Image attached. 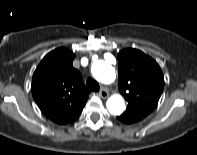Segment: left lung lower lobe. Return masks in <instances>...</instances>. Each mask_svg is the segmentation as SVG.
Segmentation results:
<instances>
[{"instance_id": "left-lung-lower-lobe-1", "label": "left lung lower lobe", "mask_w": 197, "mask_h": 155, "mask_svg": "<svg viewBox=\"0 0 197 155\" xmlns=\"http://www.w3.org/2000/svg\"><path fill=\"white\" fill-rule=\"evenodd\" d=\"M120 121H122L123 123H128L127 121H125L124 119H122L121 117H117ZM129 124V123H128Z\"/></svg>"}]
</instances>
